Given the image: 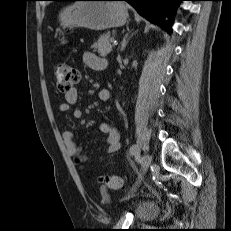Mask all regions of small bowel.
Wrapping results in <instances>:
<instances>
[{
    "mask_svg": "<svg viewBox=\"0 0 231 231\" xmlns=\"http://www.w3.org/2000/svg\"><path fill=\"white\" fill-rule=\"evenodd\" d=\"M83 62L86 66L93 70H104L103 66H107L105 59L97 56L94 53L86 52L83 55ZM65 101L60 103L58 106V111L61 113H66L71 110L72 105H74L78 100V90L76 88H71L69 91L64 92ZM98 98L101 102H108L110 99V92L107 89L100 90L98 93ZM72 115L75 119L80 120L83 118L84 114L80 108H75L72 110ZM100 131L106 135V151L109 154L115 153L121 148V134L119 130L109 124L101 123ZM62 139L66 146L68 153L72 156H79L80 148L78 147L75 135L72 130H65L62 133ZM79 160L82 162H87L88 158L85 156H79Z\"/></svg>",
    "mask_w": 231,
    "mask_h": 231,
    "instance_id": "small-bowel-1",
    "label": "small bowel"
}]
</instances>
